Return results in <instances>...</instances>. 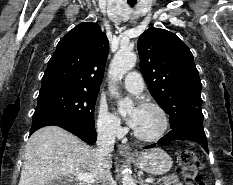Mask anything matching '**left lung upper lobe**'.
<instances>
[{"instance_id":"5c2ea615","label":"left lung upper lobe","mask_w":233,"mask_h":185,"mask_svg":"<svg viewBox=\"0 0 233 185\" xmlns=\"http://www.w3.org/2000/svg\"><path fill=\"white\" fill-rule=\"evenodd\" d=\"M149 91L170 115V127L202 116L201 81L190 49L174 33L151 27L138 40Z\"/></svg>"}]
</instances>
